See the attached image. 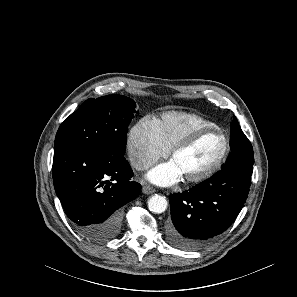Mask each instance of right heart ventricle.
Returning <instances> with one entry per match:
<instances>
[{"instance_id": "1", "label": "right heart ventricle", "mask_w": 297, "mask_h": 297, "mask_svg": "<svg viewBox=\"0 0 297 297\" xmlns=\"http://www.w3.org/2000/svg\"><path fill=\"white\" fill-rule=\"evenodd\" d=\"M153 126L160 143L167 150H170L179 140L194 129L212 127L216 126V124L194 113L169 111L155 118Z\"/></svg>"}]
</instances>
